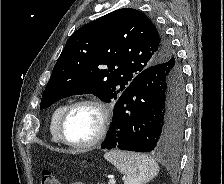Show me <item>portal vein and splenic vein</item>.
Listing matches in <instances>:
<instances>
[{
  "mask_svg": "<svg viewBox=\"0 0 224 184\" xmlns=\"http://www.w3.org/2000/svg\"><path fill=\"white\" fill-rule=\"evenodd\" d=\"M115 179H113V178H111L110 180H109V183L108 184H115Z\"/></svg>",
  "mask_w": 224,
  "mask_h": 184,
  "instance_id": "1",
  "label": "portal vein and splenic vein"
}]
</instances>
